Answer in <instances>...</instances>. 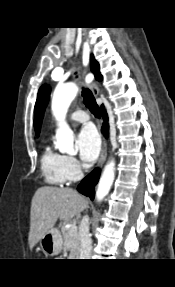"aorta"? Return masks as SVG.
Instances as JSON below:
<instances>
[{"mask_svg": "<svg viewBox=\"0 0 175 287\" xmlns=\"http://www.w3.org/2000/svg\"><path fill=\"white\" fill-rule=\"evenodd\" d=\"M78 93V87L74 83H67L56 87L52 98V113L58 123V129L56 130L55 146L62 153L74 154L76 150L74 148V135L66 123V114L72 101L75 99ZM115 178V161L112 159L109 161L101 175L96 192V198L98 201H102L104 197L109 193L110 188Z\"/></svg>", "mask_w": 175, "mask_h": 287, "instance_id": "aorta-1", "label": "aorta"}]
</instances>
